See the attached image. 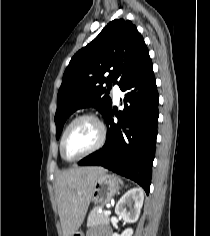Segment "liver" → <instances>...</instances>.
I'll list each match as a JSON object with an SVG mask.
<instances>
[{
  "label": "liver",
  "instance_id": "6515ba94",
  "mask_svg": "<svg viewBox=\"0 0 210 236\" xmlns=\"http://www.w3.org/2000/svg\"><path fill=\"white\" fill-rule=\"evenodd\" d=\"M105 172L103 167H74L57 176L55 194L63 236H73L81 227L94 182Z\"/></svg>",
  "mask_w": 210,
  "mask_h": 236
}]
</instances>
